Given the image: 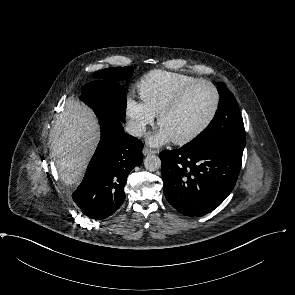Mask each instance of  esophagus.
Here are the masks:
<instances>
[{
  "instance_id": "esophagus-1",
  "label": "esophagus",
  "mask_w": 295,
  "mask_h": 295,
  "mask_svg": "<svg viewBox=\"0 0 295 295\" xmlns=\"http://www.w3.org/2000/svg\"><path fill=\"white\" fill-rule=\"evenodd\" d=\"M155 153H157V151L154 150V149H151V148H148V147L143 148V154L144 155L155 154Z\"/></svg>"
}]
</instances>
